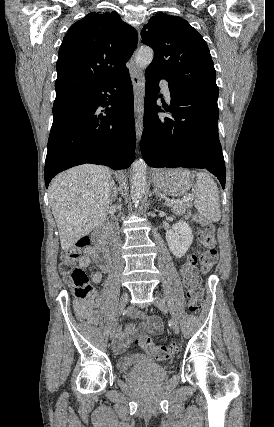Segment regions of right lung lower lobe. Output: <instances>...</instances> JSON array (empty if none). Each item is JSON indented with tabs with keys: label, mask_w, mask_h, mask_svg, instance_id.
<instances>
[{
	"label": "right lung lower lobe",
	"mask_w": 274,
	"mask_h": 427,
	"mask_svg": "<svg viewBox=\"0 0 274 427\" xmlns=\"http://www.w3.org/2000/svg\"><path fill=\"white\" fill-rule=\"evenodd\" d=\"M100 106L106 107L105 116L98 109ZM135 144L129 72L85 95L54 103L45 162L46 188L56 174L80 164L128 168L135 159Z\"/></svg>",
	"instance_id": "obj_1"
}]
</instances>
